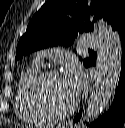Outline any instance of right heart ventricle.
Listing matches in <instances>:
<instances>
[{"label": "right heart ventricle", "mask_w": 125, "mask_h": 128, "mask_svg": "<svg viewBox=\"0 0 125 128\" xmlns=\"http://www.w3.org/2000/svg\"><path fill=\"white\" fill-rule=\"evenodd\" d=\"M40 72L36 63L27 66L20 74L16 88L15 111L17 116L28 124H44L48 120L36 109L30 96V84Z\"/></svg>", "instance_id": "right-heart-ventricle-1"}]
</instances>
